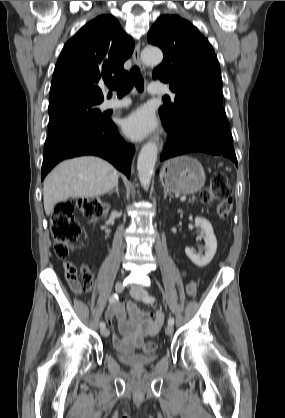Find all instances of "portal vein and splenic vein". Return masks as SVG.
<instances>
[{"instance_id":"portal-vein-and-splenic-vein-1","label":"portal vein and splenic vein","mask_w":285,"mask_h":418,"mask_svg":"<svg viewBox=\"0 0 285 418\" xmlns=\"http://www.w3.org/2000/svg\"><path fill=\"white\" fill-rule=\"evenodd\" d=\"M180 200L183 202V201H185L186 200V196H182L181 198H180Z\"/></svg>"}]
</instances>
